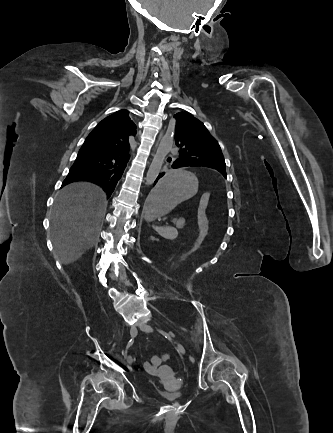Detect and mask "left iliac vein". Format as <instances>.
I'll return each mask as SVG.
<instances>
[{
	"label": "left iliac vein",
	"mask_w": 333,
	"mask_h": 433,
	"mask_svg": "<svg viewBox=\"0 0 333 433\" xmlns=\"http://www.w3.org/2000/svg\"><path fill=\"white\" fill-rule=\"evenodd\" d=\"M139 328L144 332H152L153 331V328L150 325L144 324V323L140 324ZM177 350L179 353L185 354V348L180 343L177 344Z\"/></svg>",
	"instance_id": "obj_1"
}]
</instances>
